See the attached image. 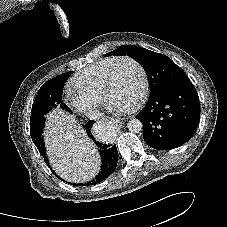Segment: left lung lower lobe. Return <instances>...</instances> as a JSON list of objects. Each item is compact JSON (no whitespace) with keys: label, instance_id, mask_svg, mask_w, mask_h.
<instances>
[{"label":"left lung lower lobe","instance_id":"1","mask_svg":"<svg viewBox=\"0 0 227 227\" xmlns=\"http://www.w3.org/2000/svg\"><path fill=\"white\" fill-rule=\"evenodd\" d=\"M136 118L143 124V138L150 147L177 148L191 139L198 127V94L191 81L183 78L151 93Z\"/></svg>","mask_w":227,"mask_h":227}]
</instances>
